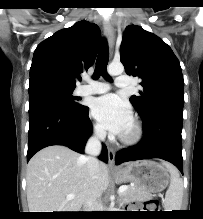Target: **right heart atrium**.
Instances as JSON below:
<instances>
[{
	"instance_id": "obj_1",
	"label": "right heart atrium",
	"mask_w": 203,
	"mask_h": 219,
	"mask_svg": "<svg viewBox=\"0 0 203 219\" xmlns=\"http://www.w3.org/2000/svg\"><path fill=\"white\" fill-rule=\"evenodd\" d=\"M92 134L95 138H101L103 135V129L101 128L100 125L94 124L92 126Z\"/></svg>"
}]
</instances>
